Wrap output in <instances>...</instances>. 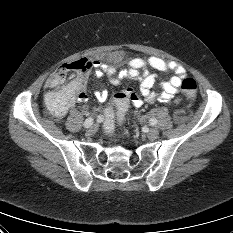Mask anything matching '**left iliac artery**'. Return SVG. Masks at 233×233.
I'll list each match as a JSON object with an SVG mask.
<instances>
[{"mask_svg":"<svg viewBox=\"0 0 233 233\" xmlns=\"http://www.w3.org/2000/svg\"><path fill=\"white\" fill-rule=\"evenodd\" d=\"M157 119H155V118H151L150 120H149V123H150V125H152V126H154V125H156L157 124Z\"/></svg>","mask_w":233,"mask_h":233,"instance_id":"left-iliac-artery-1","label":"left iliac artery"}]
</instances>
